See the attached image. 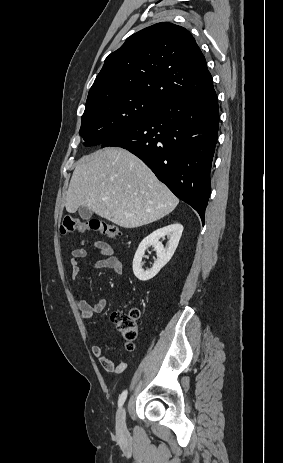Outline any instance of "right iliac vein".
I'll return each mask as SVG.
<instances>
[{
    "label": "right iliac vein",
    "mask_w": 283,
    "mask_h": 463,
    "mask_svg": "<svg viewBox=\"0 0 283 463\" xmlns=\"http://www.w3.org/2000/svg\"><path fill=\"white\" fill-rule=\"evenodd\" d=\"M116 431L120 439H124L127 434V425H126V412L124 408H121L116 416Z\"/></svg>",
    "instance_id": "obj_1"
}]
</instances>
